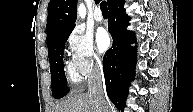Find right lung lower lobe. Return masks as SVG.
<instances>
[{"mask_svg":"<svg viewBox=\"0 0 193 112\" xmlns=\"http://www.w3.org/2000/svg\"><path fill=\"white\" fill-rule=\"evenodd\" d=\"M125 1L119 0L109 8L108 30L113 38L112 47L103 58V71L109 99L123 112L130 81L134 79L136 47L133 32L126 30L130 17L123 8Z\"/></svg>","mask_w":193,"mask_h":112,"instance_id":"1","label":"right lung lower lobe"}]
</instances>
